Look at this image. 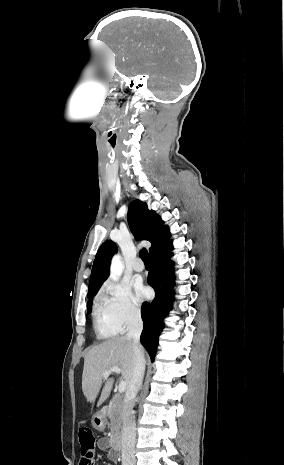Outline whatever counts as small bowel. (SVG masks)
<instances>
[{"instance_id": "c3829d8e", "label": "small bowel", "mask_w": 284, "mask_h": 465, "mask_svg": "<svg viewBox=\"0 0 284 465\" xmlns=\"http://www.w3.org/2000/svg\"><path fill=\"white\" fill-rule=\"evenodd\" d=\"M98 447L107 455V457L113 461H116L119 457V453L116 449L111 446V442L107 438H100L98 440Z\"/></svg>"}]
</instances>
